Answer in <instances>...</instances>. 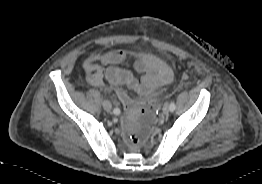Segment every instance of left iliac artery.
<instances>
[{"mask_svg":"<svg viewBox=\"0 0 262 184\" xmlns=\"http://www.w3.org/2000/svg\"><path fill=\"white\" fill-rule=\"evenodd\" d=\"M169 108H170V111H171V112H173V111L175 110L176 105H175L174 101H172V102L170 103Z\"/></svg>","mask_w":262,"mask_h":184,"instance_id":"1","label":"left iliac artery"}]
</instances>
